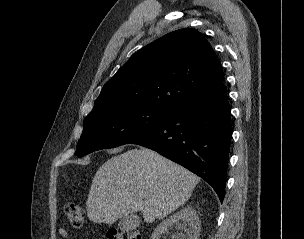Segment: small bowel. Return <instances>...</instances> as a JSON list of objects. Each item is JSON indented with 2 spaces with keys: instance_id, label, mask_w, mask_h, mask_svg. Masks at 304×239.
Segmentation results:
<instances>
[{
  "instance_id": "1",
  "label": "small bowel",
  "mask_w": 304,
  "mask_h": 239,
  "mask_svg": "<svg viewBox=\"0 0 304 239\" xmlns=\"http://www.w3.org/2000/svg\"><path fill=\"white\" fill-rule=\"evenodd\" d=\"M59 234L63 239H69V233L65 228H60Z\"/></svg>"
}]
</instances>
